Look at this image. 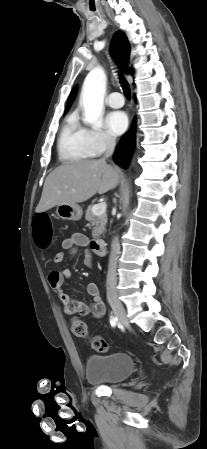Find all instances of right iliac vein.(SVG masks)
<instances>
[{"label": "right iliac vein", "instance_id": "1", "mask_svg": "<svg viewBox=\"0 0 207 449\" xmlns=\"http://www.w3.org/2000/svg\"><path fill=\"white\" fill-rule=\"evenodd\" d=\"M108 301L112 307V310H113L115 316L119 320V322L121 324H123L124 326H128L129 321H128L127 314H126V311H125L122 303L118 299H116L114 296H109Z\"/></svg>", "mask_w": 207, "mask_h": 449}]
</instances>
